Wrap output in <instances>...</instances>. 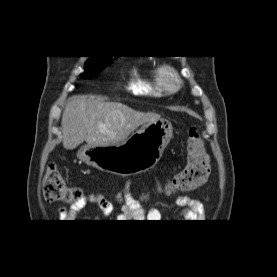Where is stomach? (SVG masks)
Returning a JSON list of instances; mask_svg holds the SVG:
<instances>
[{
	"instance_id": "1",
	"label": "stomach",
	"mask_w": 277,
	"mask_h": 277,
	"mask_svg": "<svg viewBox=\"0 0 277 277\" xmlns=\"http://www.w3.org/2000/svg\"><path fill=\"white\" fill-rule=\"evenodd\" d=\"M173 135L164 119L143 124L125 141L109 146L81 147L77 156L101 171L127 176L153 168Z\"/></svg>"
}]
</instances>
